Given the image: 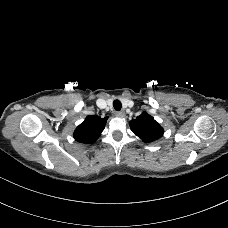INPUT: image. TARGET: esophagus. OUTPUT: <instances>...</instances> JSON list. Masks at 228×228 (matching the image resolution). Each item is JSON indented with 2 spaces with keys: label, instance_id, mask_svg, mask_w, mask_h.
<instances>
[{
  "label": "esophagus",
  "instance_id": "obj_1",
  "mask_svg": "<svg viewBox=\"0 0 228 228\" xmlns=\"http://www.w3.org/2000/svg\"><path fill=\"white\" fill-rule=\"evenodd\" d=\"M115 116H117V117H124L125 116V113H124V111H116L115 112Z\"/></svg>",
  "mask_w": 228,
  "mask_h": 228
}]
</instances>
